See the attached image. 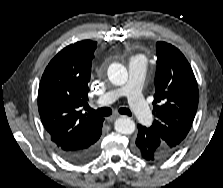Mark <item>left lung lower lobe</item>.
I'll use <instances>...</instances> for the list:
<instances>
[{"mask_svg": "<svg viewBox=\"0 0 223 188\" xmlns=\"http://www.w3.org/2000/svg\"><path fill=\"white\" fill-rule=\"evenodd\" d=\"M136 155L147 161H159L169 158L172 153L151 128L138 125V135L134 145Z\"/></svg>", "mask_w": 223, "mask_h": 188, "instance_id": "0a47b994", "label": "left lung lower lobe"}]
</instances>
